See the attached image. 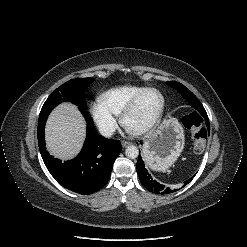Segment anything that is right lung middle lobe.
<instances>
[{
    "label": "right lung middle lobe",
    "mask_w": 247,
    "mask_h": 247,
    "mask_svg": "<svg viewBox=\"0 0 247 247\" xmlns=\"http://www.w3.org/2000/svg\"><path fill=\"white\" fill-rule=\"evenodd\" d=\"M94 81L93 78H77L70 80L54 90L49 100L69 101L80 108L87 109L85 89Z\"/></svg>",
    "instance_id": "1"
}]
</instances>
